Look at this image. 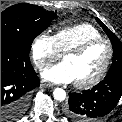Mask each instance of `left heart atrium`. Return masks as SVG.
Segmentation results:
<instances>
[{"label":"left heart atrium","mask_w":122,"mask_h":122,"mask_svg":"<svg viewBox=\"0 0 122 122\" xmlns=\"http://www.w3.org/2000/svg\"><path fill=\"white\" fill-rule=\"evenodd\" d=\"M42 77L46 81L52 83L69 84L74 82L72 71L65 62H61L45 69L42 73Z\"/></svg>","instance_id":"39dd6f15"}]
</instances>
